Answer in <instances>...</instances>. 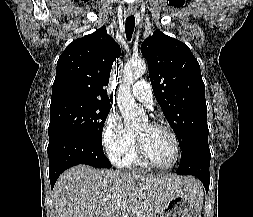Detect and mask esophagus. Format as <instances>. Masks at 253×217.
Here are the masks:
<instances>
[{"instance_id":"34e87169","label":"esophagus","mask_w":253,"mask_h":217,"mask_svg":"<svg viewBox=\"0 0 253 217\" xmlns=\"http://www.w3.org/2000/svg\"><path fill=\"white\" fill-rule=\"evenodd\" d=\"M134 12H135V9H133V8H129V9L127 10V13H128L129 15L134 14Z\"/></svg>"}]
</instances>
